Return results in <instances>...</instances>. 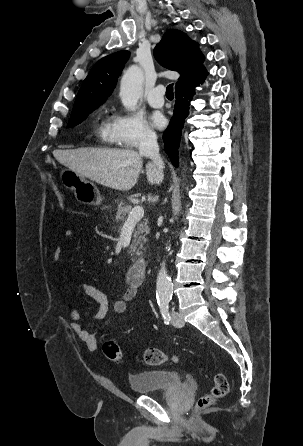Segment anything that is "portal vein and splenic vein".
Masks as SVG:
<instances>
[{
    "label": "portal vein and splenic vein",
    "mask_w": 303,
    "mask_h": 446,
    "mask_svg": "<svg viewBox=\"0 0 303 446\" xmlns=\"http://www.w3.org/2000/svg\"><path fill=\"white\" fill-rule=\"evenodd\" d=\"M143 216H144V209H143V207L140 206V205L135 206L132 209V211L130 212V214H129L126 222H125V225L136 223L139 220H141L143 218Z\"/></svg>",
    "instance_id": "1"
}]
</instances>
